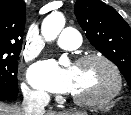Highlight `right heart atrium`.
<instances>
[{
    "mask_svg": "<svg viewBox=\"0 0 131 115\" xmlns=\"http://www.w3.org/2000/svg\"><path fill=\"white\" fill-rule=\"evenodd\" d=\"M23 93L27 98L34 100H41L47 97V94L43 90L31 88L26 84L23 85Z\"/></svg>",
    "mask_w": 131,
    "mask_h": 115,
    "instance_id": "obj_1",
    "label": "right heart atrium"
}]
</instances>
